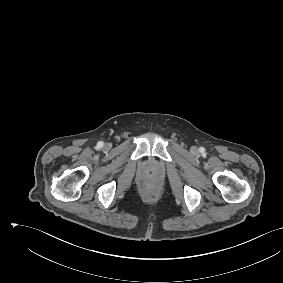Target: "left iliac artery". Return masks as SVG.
<instances>
[{
    "mask_svg": "<svg viewBox=\"0 0 283 283\" xmlns=\"http://www.w3.org/2000/svg\"><path fill=\"white\" fill-rule=\"evenodd\" d=\"M200 151H201V152H204V148H200Z\"/></svg>",
    "mask_w": 283,
    "mask_h": 283,
    "instance_id": "left-iliac-artery-1",
    "label": "left iliac artery"
}]
</instances>
